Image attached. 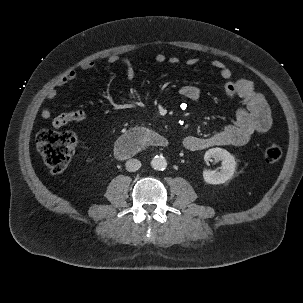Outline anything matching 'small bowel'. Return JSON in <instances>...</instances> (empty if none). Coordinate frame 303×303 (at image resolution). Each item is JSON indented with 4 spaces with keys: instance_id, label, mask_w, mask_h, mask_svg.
<instances>
[{
    "instance_id": "c3829d8e",
    "label": "small bowel",
    "mask_w": 303,
    "mask_h": 303,
    "mask_svg": "<svg viewBox=\"0 0 303 303\" xmlns=\"http://www.w3.org/2000/svg\"><path fill=\"white\" fill-rule=\"evenodd\" d=\"M158 64H170L176 67H192L197 64V58H190L181 61L177 56H168L158 53L154 56ZM109 64L120 65L126 72L127 79H135V69L132 60L128 57L111 55L107 59ZM213 68L219 71L224 80V93L229 100L241 99L243 104L236 109L235 122L225 126L220 131L209 136H186L182 140L185 149L189 151H201L214 146H241L246 144L254 134L266 133L270 130L272 119L270 109L265 97L256 92L253 83L248 79H233L231 70L219 60L211 62ZM95 67L93 61H87L82 65L83 70H91ZM77 77L75 70L67 71L56 85L65 86L74 81ZM179 93L188 100H198L202 96V90L195 84H186L179 89ZM58 92L55 88L48 90L46 97L55 99ZM44 119L51 118V111L48 108L41 110ZM86 112L82 109L62 113L52 119L54 128H61L70 123L81 122L86 119Z\"/></svg>"
}]
</instances>
